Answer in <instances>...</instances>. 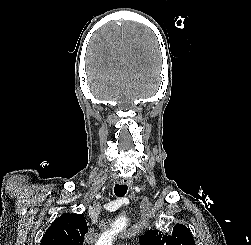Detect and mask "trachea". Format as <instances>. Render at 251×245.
I'll return each instance as SVG.
<instances>
[{
    "instance_id": "3493384b",
    "label": "trachea",
    "mask_w": 251,
    "mask_h": 245,
    "mask_svg": "<svg viewBox=\"0 0 251 245\" xmlns=\"http://www.w3.org/2000/svg\"><path fill=\"white\" fill-rule=\"evenodd\" d=\"M127 189H128L127 185L116 184L114 187V193L116 196L122 197L126 194Z\"/></svg>"
}]
</instances>
